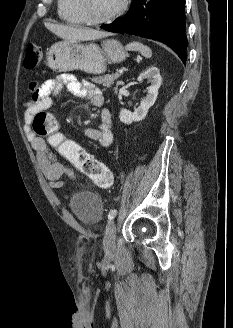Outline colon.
<instances>
[{"mask_svg": "<svg viewBox=\"0 0 233 328\" xmlns=\"http://www.w3.org/2000/svg\"><path fill=\"white\" fill-rule=\"evenodd\" d=\"M42 59V48L30 43L26 48L24 68L35 69ZM34 133L45 139L63 157L76 166L80 171L92 179L101 188H110L113 184V175L103 163L94 159L77 143L66 139L59 131L58 118L55 114L40 111L32 119Z\"/></svg>", "mask_w": 233, "mask_h": 328, "instance_id": "colon-1", "label": "colon"}]
</instances>
